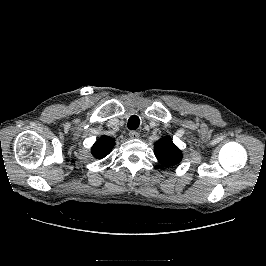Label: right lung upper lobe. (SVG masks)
Returning a JSON list of instances; mask_svg holds the SVG:
<instances>
[{"label": "right lung upper lobe", "mask_w": 266, "mask_h": 266, "mask_svg": "<svg viewBox=\"0 0 266 266\" xmlns=\"http://www.w3.org/2000/svg\"><path fill=\"white\" fill-rule=\"evenodd\" d=\"M115 139L106 135L101 136L91 148L92 155L101 159L107 156L115 145Z\"/></svg>", "instance_id": "obj_1"}]
</instances>
